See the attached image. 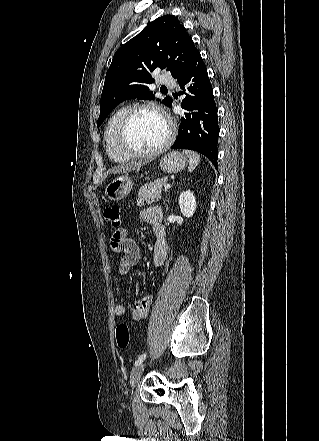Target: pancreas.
Returning a JSON list of instances; mask_svg holds the SVG:
<instances>
[{
	"instance_id": "cf45deb5",
	"label": "pancreas",
	"mask_w": 319,
	"mask_h": 441,
	"mask_svg": "<svg viewBox=\"0 0 319 441\" xmlns=\"http://www.w3.org/2000/svg\"><path fill=\"white\" fill-rule=\"evenodd\" d=\"M167 180L168 177L158 178L153 182L144 184L138 192L137 206L142 207L157 202Z\"/></svg>"
}]
</instances>
